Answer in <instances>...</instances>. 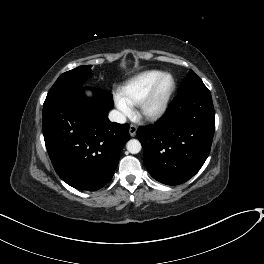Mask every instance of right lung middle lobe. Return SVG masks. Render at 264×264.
Listing matches in <instances>:
<instances>
[{
  "label": "right lung middle lobe",
  "instance_id": "1",
  "mask_svg": "<svg viewBox=\"0 0 264 264\" xmlns=\"http://www.w3.org/2000/svg\"><path fill=\"white\" fill-rule=\"evenodd\" d=\"M91 75V65L79 66L63 73L49 90L44 104L58 100L71 91L80 88Z\"/></svg>",
  "mask_w": 264,
  "mask_h": 264
}]
</instances>
